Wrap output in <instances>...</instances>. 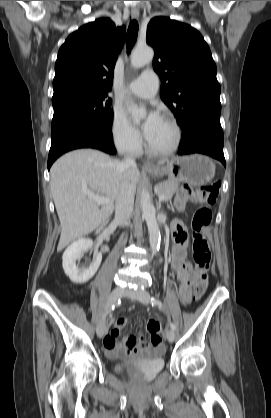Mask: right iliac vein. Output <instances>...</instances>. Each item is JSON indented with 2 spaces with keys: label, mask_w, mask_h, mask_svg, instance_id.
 I'll return each mask as SVG.
<instances>
[{
  "label": "right iliac vein",
  "mask_w": 271,
  "mask_h": 418,
  "mask_svg": "<svg viewBox=\"0 0 271 418\" xmlns=\"http://www.w3.org/2000/svg\"><path fill=\"white\" fill-rule=\"evenodd\" d=\"M122 293H123V290L119 287L114 288L113 291L110 293L108 301H107L105 313L103 317L101 318V320L99 321L97 325V329H96L97 336L99 338L103 337L105 330H106V315H107L106 313L112 308V306H114L117 303Z\"/></svg>",
  "instance_id": "1"
}]
</instances>
